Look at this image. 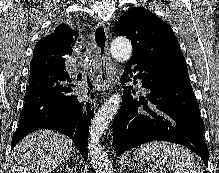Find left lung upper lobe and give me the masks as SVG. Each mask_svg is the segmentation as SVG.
Returning a JSON list of instances; mask_svg holds the SVG:
<instances>
[{
    "label": "left lung upper lobe",
    "instance_id": "5c2ea615",
    "mask_svg": "<svg viewBox=\"0 0 219 173\" xmlns=\"http://www.w3.org/2000/svg\"><path fill=\"white\" fill-rule=\"evenodd\" d=\"M116 35L129 37L132 58L147 59L166 66L175 76L188 74L185 58L172 29L142 7H133L119 18Z\"/></svg>",
    "mask_w": 219,
    "mask_h": 173
}]
</instances>
